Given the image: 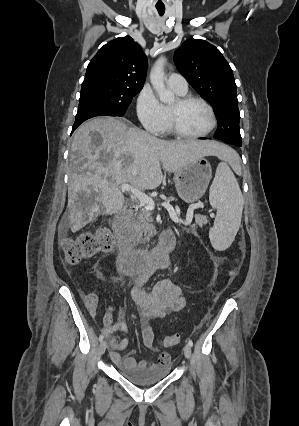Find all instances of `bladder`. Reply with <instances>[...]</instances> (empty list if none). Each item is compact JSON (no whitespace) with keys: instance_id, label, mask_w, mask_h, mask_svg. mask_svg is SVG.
<instances>
[{"instance_id":"bladder-1","label":"bladder","mask_w":299,"mask_h":426,"mask_svg":"<svg viewBox=\"0 0 299 426\" xmlns=\"http://www.w3.org/2000/svg\"><path fill=\"white\" fill-rule=\"evenodd\" d=\"M167 366H150L144 368L122 369L121 375L133 384L150 386L163 380L169 374Z\"/></svg>"}]
</instances>
